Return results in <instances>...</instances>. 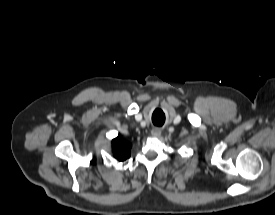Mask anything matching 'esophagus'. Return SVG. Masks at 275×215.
Here are the masks:
<instances>
[{
    "mask_svg": "<svg viewBox=\"0 0 275 215\" xmlns=\"http://www.w3.org/2000/svg\"><path fill=\"white\" fill-rule=\"evenodd\" d=\"M161 135V129L157 128V127H154L152 130H151V136L152 137H159Z\"/></svg>",
    "mask_w": 275,
    "mask_h": 215,
    "instance_id": "obj_1",
    "label": "esophagus"
}]
</instances>
